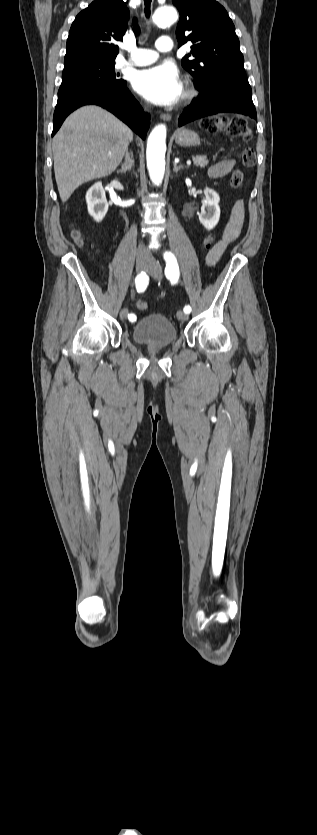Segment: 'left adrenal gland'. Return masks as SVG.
I'll return each mask as SVG.
<instances>
[{"mask_svg":"<svg viewBox=\"0 0 317 835\" xmlns=\"http://www.w3.org/2000/svg\"><path fill=\"white\" fill-rule=\"evenodd\" d=\"M173 166H174L173 171H174L175 173H177L180 169H184V166H183V165H179V166H178L175 162L173 163Z\"/></svg>","mask_w":317,"mask_h":835,"instance_id":"left-adrenal-gland-1","label":"left adrenal gland"}]
</instances>
